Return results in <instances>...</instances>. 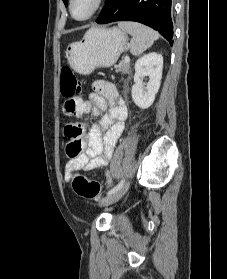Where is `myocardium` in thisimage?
I'll list each match as a JSON object with an SVG mask.
<instances>
[{
    "label": "myocardium",
    "mask_w": 227,
    "mask_h": 279,
    "mask_svg": "<svg viewBox=\"0 0 227 279\" xmlns=\"http://www.w3.org/2000/svg\"><path fill=\"white\" fill-rule=\"evenodd\" d=\"M74 0H69V13L70 16L72 17V19H74L75 21H87L89 19H91L92 17H94L102 8L103 4H104V0H93V6L91 11L83 18H76L73 15V11H72V6H73Z\"/></svg>",
    "instance_id": "obj_1"
}]
</instances>
